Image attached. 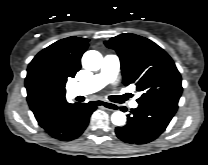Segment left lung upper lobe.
<instances>
[{"label": "left lung upper lobe", "mask_w": 208, "mask_h": 165, "mask_svg": "<svg viewBox=\"0 0 208 165\" xmlns=\"http://www.w3.org/2000/svg\"><path fill=\"white\" fill-rule=\"evenodd\" d=\"M117 51L124 85L135 84L142 92L138 104L157 101L178 103L182 94L181 76L171 57L151 40L124 33L105 42Z\"/></svg>", "instance_id": "left-lung-upper-lobe-1"}]
</instances>
